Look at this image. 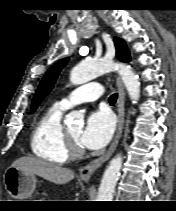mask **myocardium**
<instances>
[{
  "instance_id": "obj_1",
  "label": "myocardium",
  "mask_w": 176,
  "mask_h": 211,
  "mask_svg": "<svg viewBox=\"0 0 176 211\" xmlns=\"http://www.w3.org/2000/svg\"><path fill=\"white\" fill-rule=\"evenodd\" d=\"M64 136H65L67 149L71 157H80L81 155L84 154V149L82 148L81 144L78 141H76L70 135L68 130L65 128H64Z\"/></svg>"
}]
</instances>
